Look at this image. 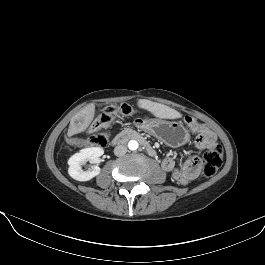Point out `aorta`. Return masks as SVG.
I'll return each mask as SVG.
<instances>
[{
    "label": "aorta",
    "instance_id": "1",
    "mask_svg": "<svg viewBox=\"0 0 265 265\" xmlns=\"http://www.w3.org/2000/svg\"><path fill=\"white\" fill-rule=\"evenodd\" d=\"M128 148L131 151H135L139 148V143L136 140H130L128 142Z\"/></svg>",
    "mask_w": 265,
    "mask_h": 265
}]
</instances>
